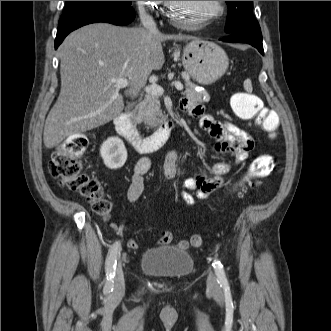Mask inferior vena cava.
I'll list each match as a JSON object with an SVG mask.
<instances>
[{
    "instance_id": "inferior-vena-cava-1",
    "label": "inferior vena cava",
    "mask_w": 331,
    "mask_h": 331,
    "mask_svg": "<svg viewBox=\"0 0 331 331\" xmlns=\"http://www.w3.org/2000/svg\"><path fill=\"white\" fill-rule=\"evenodd\" d=\"M140 18L144 28L148 30L151 34L159 33L156 23L154 22L153 18L150 15L144 12L140 15Z\"/></svg>"
}]
</instances>
